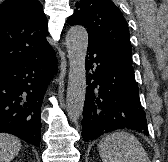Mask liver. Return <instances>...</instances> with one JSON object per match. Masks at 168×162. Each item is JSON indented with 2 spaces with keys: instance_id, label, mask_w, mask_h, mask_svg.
<instances>
[{
  "instance_id": "liver-1",
  "label": "liver",
  "mask_w": 168,
  "mask_h": 162,
  "mask_svg": "<svg viewBox=\"0 0 168 162\" xmlns=\"http://www.w3.org/2000/svg\"><path fill=\"white\" fill-rule=\"evenodd\" d=\"M21 149V141L10 134L0 133V162H11Z\"/></svg>"
}]
</instances>
